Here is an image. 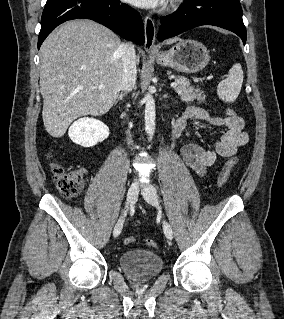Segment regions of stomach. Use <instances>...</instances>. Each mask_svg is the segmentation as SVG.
Segmentation results:
<instances>
[{
  "label": "stomach",
  "instance_id": "0dacf381",
  "mask_svg": "<svg viewBox=\"0 0 284 319\" xmlns=\"http://www.w3.org/2000/svg\"><path fill=\"white\" fill-rule=\"evenodd\" d=\"M156 61L165 67L182 73H197L209 62V50L196 40H179L166 52L154 55Z\"/></svg>",
  "mask_w": 284,
  "mask_h": 319
}]
</instances>
